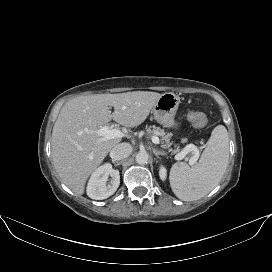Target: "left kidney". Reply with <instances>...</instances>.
Here are the masks:
<instances>
[{
	"instance_id": "5707ae66",
	"label": "left kidney",
	"mask_w": 272,
	"mask_h": 272,
	"mask_svg": "<svg viewBox=\"0 0 272 272\" xmlns=\"http://www.w3.org/2000/svg\"><path fill=\"white\" fill-rule=\"evenodd\" d=\"M159 176H160L161 180H163V181L166 180L167 170H166V168L163 165L160 166Z\"/></svg>"
}]
</instances>
